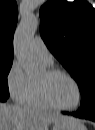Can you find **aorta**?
Returning <instances> with one entry per match:
<instances>
[{"label":"aorta","instance_id":"1","mask_svg":"<svg viewBox=\"0 0 95 130\" xmlns=\"http://www.w3.org/2000/svg\"><path fill=\"white\" fill-rule=\"evenodd\" d=\"M39 18L34 15H26L22 18L14 38V52L22 64L27 76H35L39 73V64L33 54L32 40L39 25Z\"/></svg>","mask_w":95,"mask_h":130}]
</instances>
